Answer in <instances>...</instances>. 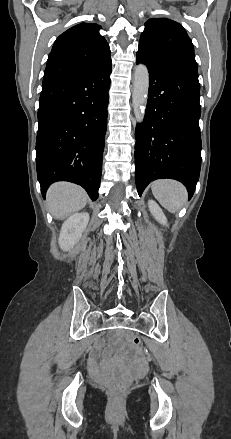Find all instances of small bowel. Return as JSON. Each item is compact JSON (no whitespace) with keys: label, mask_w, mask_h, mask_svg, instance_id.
Here are the masks:
<instances>
[{"label":"small bowel","mask_w":231,"mask_h":439,"mask_svg":"<svg viewBox=\"0 0 231 439\" xmlns=\"http://www.w3.org/2000/svg\"><path fill=\"white\" fill-rule=\"evenodd\" d=\"M92 366H93L94 371L97 374H101V372H102L101 367H100L99 363L96 360H93Z\"/></svg>","instance_id":"1"}]
</instances>
